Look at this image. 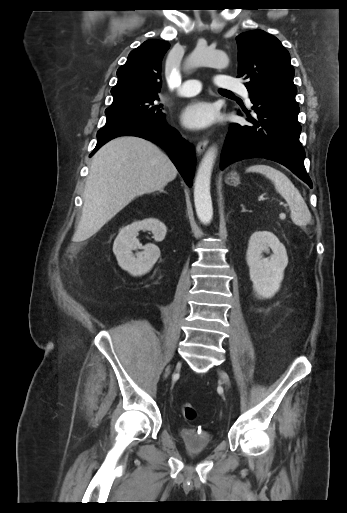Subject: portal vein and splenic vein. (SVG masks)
I'll use <instances>...</instances> for the list:
<instances>
[{"mask_svg": "<svg viewBox=\"0 0 347 513\" xmlns=\"http://www.w3.org/2000/svg\"><path fill=\"white\" fill-rule=\"evenodd\" d=\"M265 199H266V198H264V197H261V198H260V200H262V201H264Z\"/></svg>", "mask_w": 347, "mask_h": 513, "instance_id": "1", "label": "portal vein and splenic vein"}]
</instances>
